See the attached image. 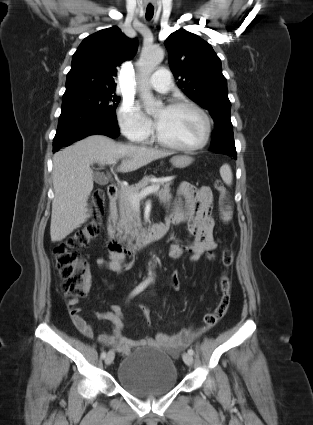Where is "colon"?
Wrapping results in <instances>:
<instances>
[{
  "instance_id": "obj_1",
  "label": "colon",
  "mask_w": 313,
  "mask_h": 425,
  "mask_svg": "<svg viewBox=\"0 0 313 425\" xmlns=\"http://www.w3.org/2000/svg\"><path fill=\"white\" fill-rule=\"evenodd\" d=\"M215 188L219 193V204L223 208L228 200V191L224 184L217 180ZM93 203L96 213L92 219L79 229L71 233L65 240L56 245L53 255L56 261V268L63 280V292L70 298L68 305L75 307L78 297L85 293V285L89 277V267L87 261L81 256L80 251L87 247L94 240L101 228V214L103 210L104 194L101 189L93 192ZM208 260L213 261L215 254L213 249L206 253ZM221 262L224 268H229L233 262V252L230 249H224L221 256ZM183 279L178 273H173L169 277V285L175 291L182 288ZM220 300L216 308L204 316V323L208 328L215 326L226 314L230 301L232 283L226 272H223L219 278ZM144 316L149 322V309L144 308Z\"/></svg>"
}]
</instances>
